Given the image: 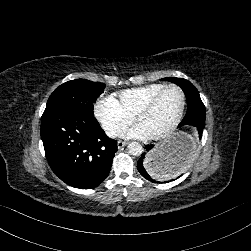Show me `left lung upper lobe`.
<instances>
[{
    "label": "left lung upper lobe",
    "instance_id": "5c2ea615",
    "mask_svg": "<svg viewBox=\"0 0 251 251\" xmlns=\"http://www.w3.org/2000/svg\"><path fill=\"white\" fill-rule=\"evenodd\" d=\"M162 80L170 81L180 86L186 95L188 105L191 103L204 105L197 89L188 80L174 77L163 78Z\"/></svg>",
    "mask_w": 251,
    "mask_h": 251
}]
</instances>
